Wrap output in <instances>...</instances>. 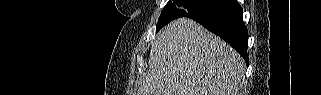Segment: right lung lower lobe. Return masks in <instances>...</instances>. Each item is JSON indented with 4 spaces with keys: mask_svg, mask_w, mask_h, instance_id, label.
I'll return each instance as SVG.
<instances>
[{
    "mask_svg": "<svg viewBox=\"0 0 321 95\" xmlns=\"http://www.w3.org/2000/svg\"><path fill=\"white\" fill-rule=\"evenodd\" d=\"M242 14V7L237 0H212L186 17L199 22L229 43L248 64V30L243 22Z\"/></svg>",
    "mask_w": 321,
    "mask_h": 95,
    "instance_id": "obj_1",
    "label": "right lung lower lobe"
}]
</instances>
